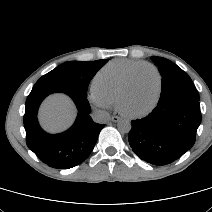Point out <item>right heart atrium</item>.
<instances>
[{
	"label": "right heart atrium",
	"mask_w": 212,
	"mask_h": 212,
	"mask_svg": "<svg viewBox=\"0 0 212 212\" xmlns=\"http://www.w3.org/2000/svg\"><path fill=\"white\" fill-rule=\"evenodd\" d=\"M88 101L94 108L107 111L112 105L113 101L110 100L103 92H101L95 85H92L88 94Z\"/></svg>",
	"instance_id": "obj_1"
}]
</instances>
